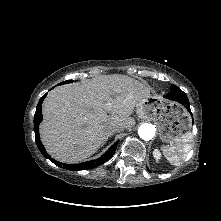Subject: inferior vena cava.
<instances>
[{
	"instance_id": "1",
	"label": "inferior vena cava",
	"mask_w": 221,
	"mask_h": 221,
	"mask_svg": "<svg viewBox=\"0 0 221 221\" xmlns=\"http://www.w3.org/2000/svg\"><path fill=\"white\" fill-rule=\"evenodd\" d=\"M123 126H118L114 123H109L106 128H105V131H106V134L107 135H112L113 133H116V132H119L121 130H123Z\"/></svg>"
}]
</instances>
